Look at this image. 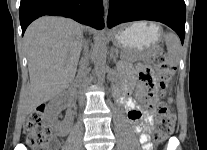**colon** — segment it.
<instances>
[{
    "label": "colon",
    "instance_id": "obj_1",
    "mask_svg": "<svg viewBox=\"0 0 207 150\" xmlns=\"http://www.w3.org/2000/svg\"><path fill=\"white\" fill-rule=\"evenodd\" d=\"M152 62L160 75V83L157 91V109L155 117L154 141L161 143L176 128L175 116L168 105L165 94L167 81L173 74V66L169 62L164 51H156L152 55ZM28 145L32 150H55L57 141L44 122V111L37 108L27 118L25 124Z\"/></svg>",
    "mask_w": 207,
    "mask_h": 150
}]
</instances>
